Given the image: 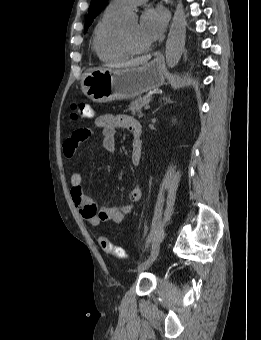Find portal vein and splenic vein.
<instances>
[{
  "mask_svg": "<svg viewBox=\"0 0 261 340\" xmlns=\"http://www.w3.org/2000/svg\"><path fill=\"white\" fill-rule=\"evenodd\" d=\"M144 109L145 110H149L150 109V105L149 104L145 105Z\"/></svg>",
  "mask_w": 261,
  "mask_h": 340,
  "instance_id": "1",
  "label": "portal vein and splenic vein"
}]
</instances>
